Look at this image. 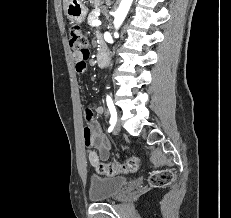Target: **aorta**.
<instances>
[{"mask_svg":"<svg viewBox=\"0 0 231 218\" xmlns=\"http://www.w3.org/2000/svg\"><path fill=\"white\" fill-rule=\"evenodd\" d=\"M133 0H121L119 8L116 11L115 18H114V27L118 29L121 24L123 23Z\"/></svg>","mask_w":231,"mask_h":218,"instance_id":"obj_1","label":"aorta"}]
</instances>
